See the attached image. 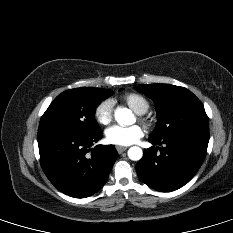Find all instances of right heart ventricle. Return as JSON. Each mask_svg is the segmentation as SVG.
Segmentation results:
<instances>
[{"label": "right heart ventricle", "mask_w": 233, "mask_h": 233, "mask_svg": "<svg viewBox=\"0 0 233 233\" xmlns=\"http://www.w3.org/2000/svg\"><path fill=\"white\" fill-rule=\"evenodd\" d=\"M123 100L137 114L146 113L150 107L149 101L138 93L125 94Z\"/></svg>", "instance_id": "obj_1"}]
</instances>
